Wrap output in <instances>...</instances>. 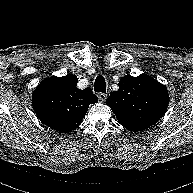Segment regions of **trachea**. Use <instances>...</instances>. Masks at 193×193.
I'll return each mask as SVG.
<instances>
[{
    "label": "trachea",
    "mask_w": 193,
    "mask_h": 193,
    "mask_svg": "<svg viewBox=\"0 0 193 193\" xmlns=\"http://www.w3.org/2000/svg\"><path fill=\"white\" fill-rule=\"evenodd\" d=\"M94 91L100 93H106V82L103 76H98L95 79Z\"/></svg>",
    "instance_id": "obj_1"
}]
</instances>
